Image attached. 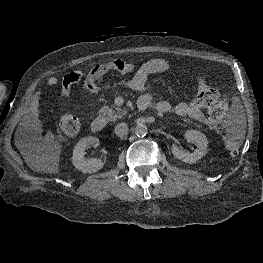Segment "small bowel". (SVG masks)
Wrapping results in <instances>:
<instances>
[{
  "mask_svg": "<svg viewBox=\"0 0 263 263\" xmlns=\"http://www.w3.org/2000/svg\"><path fill=\"white\" fill-rule=\"evenodd\" d=\"M115 62H122L127 65L128 68L119 70L115 66ZM133 70V66L121 60H115L107 64L98 65L93 67L89 72L85 73L82 70H77L65 75L60 84L63 97L70 98L71 88L74 84L82 81L85 90L91 95L99 94L98 80L103 77L109 71H118L122 74L129 73ZM171 67L169 63L160 58H152L143 63L134 73L133 77L128 80H121L119 85L132 89L134 91L142 93L139 103L145 104L147 107L154 105L159 112L174 111L179 116H186L195 119L205 124L209 129L218 131L220 129L219 123L216 119L207 116L202 111V105L199 103L197 97L188 102H179L175 106H172L167 101H158L154 103L153 96L149 93L151 83L149 82V76L151 74L170 73ZM59 83V80L55 76H51L47 79L46 85L48 87H54ZM40 92H36L33 96L30 106V124L32 128L38 127V106L40 101ZM47 141H52L54 135L51 132L45 134Z\"/></svg>",
  "mask_w": 263,
  "mask_h": 263,
  "instance_id": "small-bowel-1",
  "label": "small bowel"
}]
</instances>
